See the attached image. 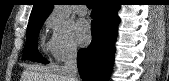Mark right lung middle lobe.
I'll return each mask as SVG.
<instances>
[{
  "label": "right lung middle lobe",
  "mask_w": 169,
  "mask_h": 81,
  "mask_svg": "<svg viewBox=\"0 0 169 81\" xmlns=\"http://www.w3.org/2000/svg\"><path fill=\"white\" fill-rule=\"evenodd\" d=\"M44 21L45 20H41L28 24L27 41L23 53L24 60H33L43 64L48 63V61L39 54L37 49V37Z\"/></svg>",
  "instance_id": "right-lung-middle-lobe-1"
}]
</instances>
